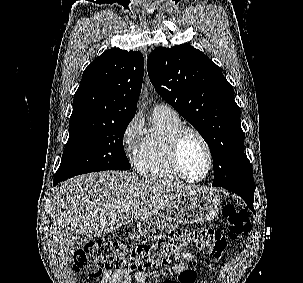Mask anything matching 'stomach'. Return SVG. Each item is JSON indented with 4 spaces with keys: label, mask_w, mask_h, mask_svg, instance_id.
I'll list each match as a JSON object with an SVG mask.
<instances>
[{
    "label": "stomach",
    "mask_w": 303,
    "mask_h": 283,
    "mask_svg": "<svg viewBox=\"0 0 303 283\" xmlns=\"http://www.w3.org/2000/svg\"><path fill=\"white\" fill-rule=\"evenodd\" d=\"M220 203L218 196L206 190L180 196L160 212L138 220V233L149 240L165 238L179 224H194L214 219L219 213Z\"/></svg>",
    "instance_id": "1"
}]
</instances>
